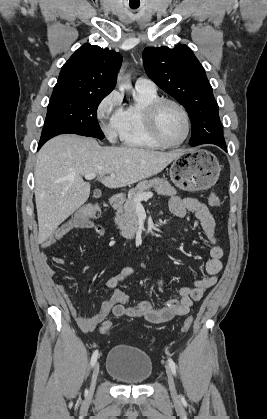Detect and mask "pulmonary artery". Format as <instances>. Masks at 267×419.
Returning <instances> with one entry per match:
<instances>
[{
  "mask_svg": "<svg viewBox=\"0 0 267 419\" xmlns=\"http://www.w3.org/2000/svg\"><path fill=\"white\" fill-rule=\"evenodd\" d=\"M135 89L153 91L156 90V85L148 78L139 77L135 82Z\"/></svg>",
  "mask_w": 267,
  "mask_h": 419,
  "instance_id": "e3ab8cb5",
  "label": "pulmonary artery"
}]
</instances>
